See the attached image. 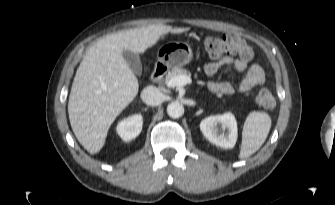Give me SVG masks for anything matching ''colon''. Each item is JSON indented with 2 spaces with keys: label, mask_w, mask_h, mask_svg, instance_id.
Returning <instances> with one entry per match:
<instances>
[{
  "label": "colon",
  "mask_w": 335,
  "mask_h": 205,
  "mask_svg": "<svg viewBox=\"0 0 335 205\" xmlns=\"http://www.w3.org/2000/svg\"><path fill=\"white\" fill-rule=\"evenodd\" d=\"M203 46L211 58H220L224 55H238L241 59L249 61L253 58L254 50L250 44L237 35L226 34L218 37H208ZM258 105L271 109L275 105V98L267 87L261 88L256 96Z\"/></svg>",
  "instance_id": "colon-1"
}]
</instances>
